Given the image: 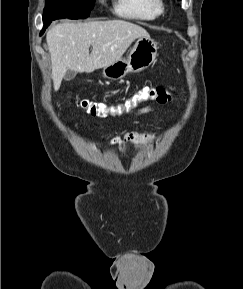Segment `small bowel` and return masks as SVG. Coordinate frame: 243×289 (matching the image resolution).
<instances>
[{
    "label": "small bowel",
    "mask_w": 243,
    "mask_h": 289,
    "mask_svg": "<svg viewBox=\"0 0 243 289\" xmlns=\"http://www.w3.org/2000/svg\"><path fill=\"white\" fill-rule=\"evenodd\" d=\"M151 107L140 108L135 115H143L152 112ZM156 135L154 133L145 132H125L115 135L110 139V142L116 144L121 155H125L129 146L140 147L151 143L155 140Z\"/></svg>",
    "instance_id": "1"
}]
</instances>
